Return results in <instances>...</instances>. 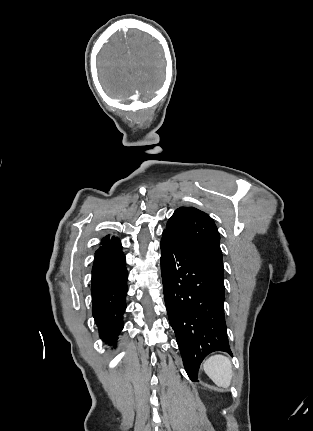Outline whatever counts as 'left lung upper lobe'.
<instances>
[{"label":"left lung upper lobe","mask_w":313,"mask_h":431,"mask_svg":"<svg viewBox=\"0 0 313 431\" xmlns=\"http://www.w3.org/2000/svg\"><path fill=\"white\" fill-rule=\"evenodd\" d=\"M182 249L206 260L224 273L220 235L214 221L194 207H180L164 230Z\"/></svg>","instance_id":"left-lung-upper-lobe-1"}]
</instances>
